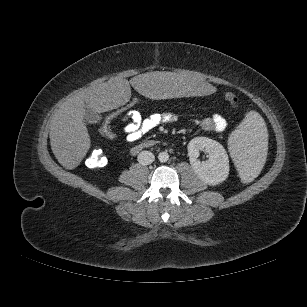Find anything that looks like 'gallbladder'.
<instances>
[{
	"instance_id": "obj_1",
	"label": "gallbladder",
	"mask_w": 307,
	"mask_h": 307,
	"mask_svg": "<svg viewBox=\"0 0 307 307\" xmlns=\"http://www.w3.org/2000/svg\"><path fill=\"white\" fill-rule=\"evenodd\" d=\"M84 118L90 123H97L101 120V116L90 108L86 109Z\"/></svg>"
}]
</instances>
